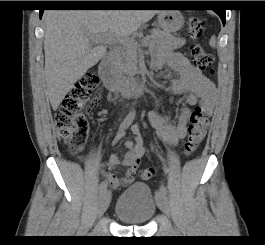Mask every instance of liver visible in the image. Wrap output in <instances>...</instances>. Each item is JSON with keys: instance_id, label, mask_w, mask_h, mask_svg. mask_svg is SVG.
<instances>
[{"instance_id": "liver-1", "label": "liver", "mask_w": 265, "mask_h": 245, "mask_svg": "<svg viewBox=\"0 0 265 245\" xmlns=\"http://www.w3.org/2000/svg\"><path fill=\"white\" fill-rule=\"evenodd\" d=\"M158 10H47L45 77L47 95L57 110L74 84L105 55L106 46L93 47V35L110 34V41L136 32Z\"/></svg>"}]
</instances>
